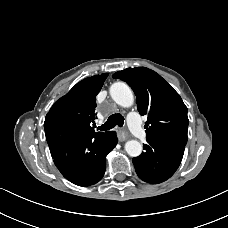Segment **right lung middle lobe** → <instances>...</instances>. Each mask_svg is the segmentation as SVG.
I'll return each instance as SVG.
<instances>
[{
    "mask_svg": "<svg viewBox=\"0 0 228 228\" xmlns=\"http://www.w3.org/2000/svg\"><path fill=\"white\" fill-rule=\"evenodd\" d=\"M71 137H73V132L70 129L54 131L46 136L49 147L57 146Z\"/></svg>",
    "mask_w": 228,
    "mask_h": 228,
    "instance_id": "dd1d6c3e",
    "label": "right lung middle lobe"
}]
</instances>
